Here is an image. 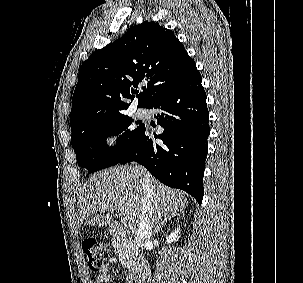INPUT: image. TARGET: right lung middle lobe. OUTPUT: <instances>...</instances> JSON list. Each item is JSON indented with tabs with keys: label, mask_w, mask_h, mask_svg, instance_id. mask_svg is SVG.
<instances>
[{
	"label": "right lung middle lobe",
	"mask_w": 303,
	"mask_h": 283,
	"mask_svg": "<svg viewBox=\"0 0 303 283\" xmlns=\"http://www.w3.org/2000/svg\"><path fill=\"white\" fill-rule=\"evenodd\" d=\"M138 124V123H137ZM128 116L87 125L72 134L71 144L76 153L78 165L94 173L118 164L131 150L145 125L133 128ZM115 147H108L106 138L118 135Z\"/></svg>",
	"instance_id": "right-lung-middle-lobe-1"
}]
</instances>
